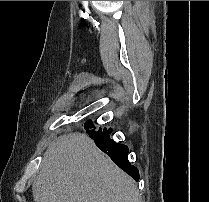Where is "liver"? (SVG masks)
Returning a JSON list of instances; mask_svg holds the SVG:
<instances>
[{
  "label": "liver",
  "instance_id": "obj_1",
  "mask_svg": "<svg viewBox=\"0 0 209 202\" xmlns=\"http://www.w3.org/2000/svg\"><path fill=\"white\" fill-rule=\"evenodd\" d=\"M32 193L35 202H141L133 179L81 133L48 147Z\"/></svg>",
  "mask_w": 209,
  "mask_h": 202
}]
</instances>
